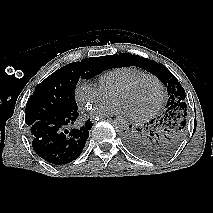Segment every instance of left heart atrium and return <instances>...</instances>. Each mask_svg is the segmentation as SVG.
I'll list each match as a JSON object with an SVG mask.
<instances>
[{
    "instance_id": "1",
    "label": "left heart atrium",
    "mask_w": 213,
    "mask_h": 213,
    "mask_svg": "<svg viewBox=\"0 0 213 213\" xmlns=\"http://www.w3.org/2000/svg\"><path fill=\"white\" fill-rule=\"evenodd\" d=\"M92 114L93 116H96V117L105 116V115H114V114H119L124 116L131 115L126 105L120 101H113L112 103H109V104L97 106L92 110Z\"/></svg>"
}]
</instances>
